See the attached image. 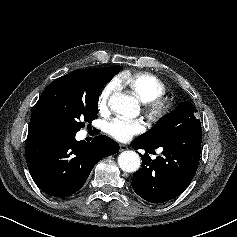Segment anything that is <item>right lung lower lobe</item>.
Returning a JSON list of instances; mask_svg holds the SVG:
<instances>
[{"label": "right lung lower lobe", "mask_w": 237, "mask_h": 237, "mask_svg": "<svg viewBox=\"0 0 237 237\" xmlns=\"http://www.w3.org/2000/svg\"><path fill=\"white\" fill-rule=\"evenodd\" d=\"M76 133L37 130L28 133L26 161L37 186L55 197H68L82 188L93 167L119 151V145L101 135L92 142L76 141Z\"/></svg>", "instance_id": "right-lung-lower-lobe-1"}]
</instances>
